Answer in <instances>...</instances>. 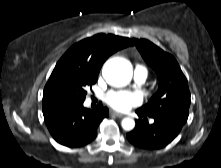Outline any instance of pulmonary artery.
Returning a JSON list of instances; mask_svg holds the SVG:
<instances>
[{
  "mask_svg": "<svg viewBox=\"0 0 221 168\" xmlns=\"http://www.w3.org/2000/svg\"><path fill=\"white\" fill-rule=\"evenodd\" d=\"M147 78V70L142 66H137L134 71V80L138 84H142L145 82Z\"/></svg>",
  "mask_w": 221,
  "mask_h": 168,
  "instance_id": "obj_1",
  "label": "pulmonary artery"
}]
</instances>
